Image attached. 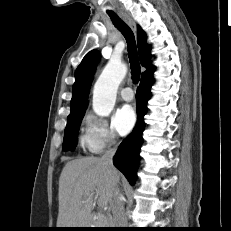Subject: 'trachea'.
I'll return each instance as SVG.
<instances>
[{
    "mask_svg": "<svg viewBox=\"0 0 231 231\" xmlns=\"http://www.w3.org/2000/svg\"><path fill=\"white\" fill-rule=\"evenodd\" d=\"M108 15L111 18L114 26L123 34L126 39L132 80L134 83H137L140 80V63L134 34L130 27L122 19H120L116 13L108 12Z\"/></svg>",
    "mask_w": 231,
    "mask_h": 231,
    "instance_id": "trachea-1",
    "label": "trachea"
}]
</instances>
